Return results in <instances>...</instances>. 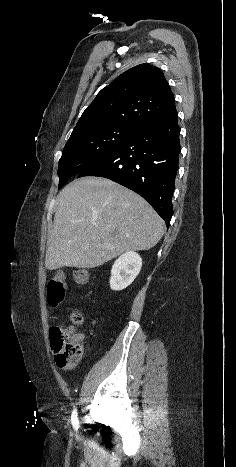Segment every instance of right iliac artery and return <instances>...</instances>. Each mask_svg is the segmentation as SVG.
Instances as JSON below:
<instances>
[{
  "label": "right iliac artery",
  "instance_id": "1",
  "mask_svg": "<svg viewBox=\"0 0 236 467\" xmlns=\"http://www.w3.org/2000/svg\"><path fill=\"white\" fill-rule=\"evenodd\" d=\"M71 421H72V424H78V418H77V409L74 408L73 411H72V415H71Z\"/></svg>",
  "mask_w": 236,
  "mask_h": 467
}]
</instances>
